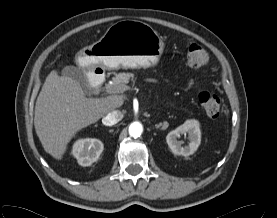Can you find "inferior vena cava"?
<instances>
[{
	"label": "inferior vena cava",
	"instance_id": "inferior-vena-cava-1",
	"mask_svg": "<svg viewBox=\"0 0 277 218\" xmlns=\"http://www.w3.org/2000/svg\"><path fill=\"white\" fill-rule=\"evenodd\" d=\"M123 114L119 110H113L109 112L103 119L102 123L105 126H113L116 123H118L120 120H122Z\"/></svg>",
	"mask_w": 277,
	"mask_h": 218
}]
</instances>
